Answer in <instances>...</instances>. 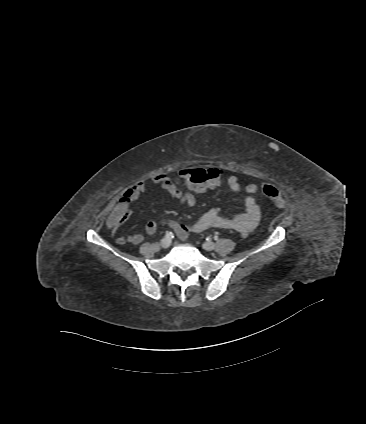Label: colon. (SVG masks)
Masks as SVG:
<instances>
[{"mask_svg":"<svg viewBox=\"0 0 366 424\" xmlns=\"http://www.w3.org/2000/svg\"><path fill=\"white\" fill-rule=\"evenodd\" d=\"M218 172L213 168L210 169H189L182 170L180 172L181 179L192 189H203L206 188L209 184H212L218 177ZM248 192L255 193L261 191L267 197H269L279 208L283 209L286 207V202L283 199L279 190L269 184H250L246 187ZM116 211L122 218H128L130 215V209L128 207V202L122 201L117 207Z\"/></svg>","mask_w":366,"mask_h":424,"instance_id":"5ec220e1","label":"colon"}]
</instances>
